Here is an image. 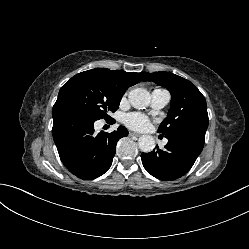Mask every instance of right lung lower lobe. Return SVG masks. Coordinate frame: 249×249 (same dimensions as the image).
<instances>
[{
	"mask_svg": "<svg viewBox=\"0 0 249 249\" xmlns=\"http://www.w3.org/2000/svg\"><path fill=\"white\" fill-rule=\"evenodd\" d=\"M52 134L66 168L84 180L103 175L111 166L116 144L128 135L120 126L112 133L94 135V120L65 106H53Z\"/></svg>",
	"mask_w": 249,
	"mask_h": 249,
	"instance_id": "right-lung-lower-lobe-1",
	"label": "right lung lower lobe"
}]
</instances>
